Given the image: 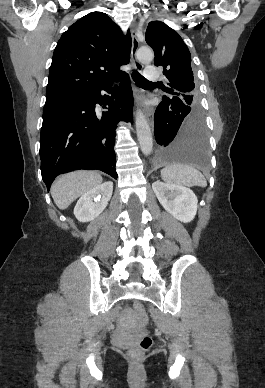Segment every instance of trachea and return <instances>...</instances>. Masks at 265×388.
I'll return each instance as SVG.
<instances>
[{
    "mask_svg": "<svg viewBox=\"0 0 265 388\" xmlns=\"http://www.w3.org/2000/svg\"><path fill=\"white\" fill-rule=\"evenodd\" d=\"M132 77L134 81L138 84L146 85L148 83H152L146 80V78L142 77V75H140V73H138L136 70L133 72Z\"/></svg>",
    "mask_w": 265,
    "mask_h": 388,
    "instance_id": "trachea-1",
    "label": "trachea"
}]
</instances>
